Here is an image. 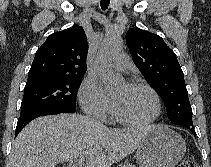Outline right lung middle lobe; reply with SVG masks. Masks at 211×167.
Instances as JSON below:
<instances>
[{
  "mask_svg": "<svg viewBox=\"0 0 211 167\" xmlns=\"http://www.w3.org/2000/svg\"><path fill=\"white\" fill-rule=\"evenodd\" d=\"M80 77L40 78L27 81L21 103V114L48 108H76Z\"/></svg>",
  "mask_w": 211,
  "mask_h": 167,
  "instance_id": "dd1d6c3e",
  "label": "right lung middle lobe"
}]
</instances>
